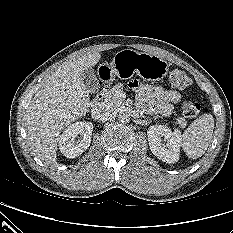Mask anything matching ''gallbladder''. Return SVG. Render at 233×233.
Wrapping results in <instances>:
<instances>
[{
    "instance_id": "obj_1",
    "label": "gallbladder",
    "mask_w": 233,
    "mask_h": 233,
    "mask_svg": "<svg viewBox=\"0 0 233 233\" xmlns=\"http://www.w3.org/2000/svg\"><path fill=\"white\" fill-rule=\"evenodd\" d=\"M81 77H82V82L89 90V92L95 93L99 90V80L92 67L84 70Z\"/></svg>"
}]
</instances>
